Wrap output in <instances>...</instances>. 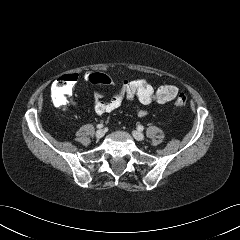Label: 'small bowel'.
Here are the masks:
<instances>
[{
    "label": "small bowel",
    "instance_id": "c3829d8e",
    "mask_svg": "<svg viewBox=\"0 0 240 240\" xmlns=\"http://www.w3.org/2000/svg\"><path fill=\"white\" fill-rule=\"evenodd\" d=\"M88 76V75H87ZM105 95V91H96L93 97V106L97 114L103 115L117 110L126 99L128 101H133L134 99L128 93L124 81L119 85L115 91L112 99L109 102H103L102 98ZM137 115L139 117L147 116L148 112L145 109L137 108Z\"/></svg>",
    "mask_w": 240,
    "mask_h": 240
}]
</instances>
